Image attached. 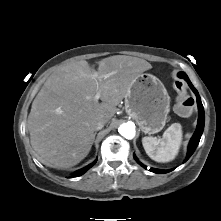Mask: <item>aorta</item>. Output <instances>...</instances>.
Segmentation results:
<instances>
[{"label":"aorta","mask_w":221,"mask_h":221,"mask_svg":"<svg viewBox=\"0 0 221 221\" xmlns=\"http://www.w3.org/2000/svg\"><path fill=\"white\" fill-rule=\"evenodd\" d=\"M119 133L126 139H132L135 136V125L132 122L122 124L119 129Z\"/></svg>","instance_id":"762f6f07"}]
</instances>
